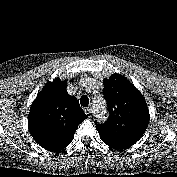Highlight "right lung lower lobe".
<instances>
[{
	"label": "right lung lower lobe",
	"instance_id": "98d812e1",
	"mask_svg": "<svg viewBox=\"0 0 177 177\" xmlns=\"http://www.w3.org/2000/svg\"><path fill=\"white\" fill-rule=\"evenodd\" d=\"M46 150H48V151H55L56 150V148L54 147V149H53V147H49V148H45Z\"/></svg>",
	"mask_w": 177,
	"mask_h": 177
}]
</instances>
